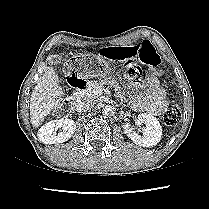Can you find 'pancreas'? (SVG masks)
Segmentation results:
<instances>
[{
    "instance_id": "1",
    "label": "pancreas",
    "mask_w": 209,
    "mask_h": 209,
    "mask_svg": "<svg viewBox=\"0 0 209 209\" xmlns=\"http://www.w3.org/2000/svg\"><path fill=\"white\" fill-rule=\"evenodd\" d=\"M115 82L111 81V84L114 85ZM101 83L97 81H91L89 87L84 91L83 96L89 98H97L102 95V92L99 90Z\"/></svg>"
}]
</instances>
